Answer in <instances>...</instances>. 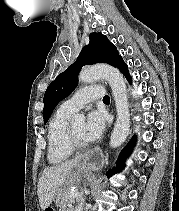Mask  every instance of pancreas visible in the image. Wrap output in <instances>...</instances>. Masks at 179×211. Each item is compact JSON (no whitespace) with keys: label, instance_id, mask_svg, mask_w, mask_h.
I'll list each match as a JSON object with an SVG mask.
<instances>
[{"label":"pancreas","instance_id":"1","mask_svg":"<svg viewBox=\"0 0 179 211\" xmlns=\"http://www.w3.org/2000/svg\"><path fill=\"white\" fill-rule=\"evenodd\" d=\"M70 193L69 189H64L57 194L56 206L60 208V211H73L72 208H68L69 205L75 202V197H71Z\"/></svg>","mask_w":179,"mask_h":211}]
</instances>
